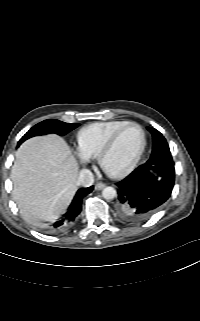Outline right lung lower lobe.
<instances>
[{"label":"right lung lower lobe","instance_id":"right-lung-lower-lobe-1","mask_svg":"<svg viewBox=\"0 0 200 321\" xmlns=\"http://www.w3.org/2000/svg\"><path fill=\"white\" fill-rule=\"evenodd\" d=\"M93 190V186L88 188H81L77 191L74 199L68 207L66 213L61 219L56 221L51 227L50 231L58 233L69 228L75 221L82 209V199Z\"/></svg>","mask_w":200,"mask_h":321}]
</instances>
